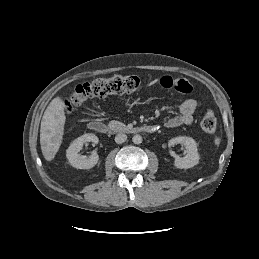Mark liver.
<instances>
[{
	"instance_id": "6515ba94",
	"label": "liver",
	"mask_w": 259,
	"mask_h": 259,
	"mask_svg": "<svg viewBox=\"0 0 259 259\" xmlns=\"http://www.w3.org/2000/svg\"><path fill=\"white\" fill-rule=\"evenodd\" d=\"M65 121V106L62 98L57 96L47 106L40 126V145L47 161L54 159L61 146Z\"/></svg>"
}]
</instances>
